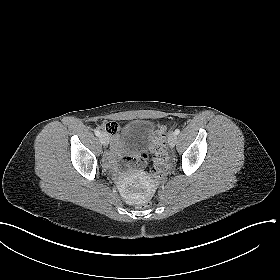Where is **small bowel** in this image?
<instances>
[{
  "label": "small bowel",
  "instance_id": "obj_1",
  "mask_svg": "<svg viewBox=\"0 0 280 280\" xmlns=\"http://www.w3.org/2000/svg\"><path fill=\"white\" fill-rule=\"evenodd\" d=\"M114 155H115V152H111V153L108 154V156H107V163L109 165L112 164ZM124 161L127 164L139 163V164L144 165L146 163V155L145 154H141V155L137 156V155L133 154V155L124 157Z\"/></svg>",
  "mask_w": 280,
  "mask_h": 280
}]
</instances>
